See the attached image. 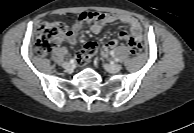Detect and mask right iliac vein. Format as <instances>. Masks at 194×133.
<instances>
[{
    "mask_svg": "<svg viewBox=\"0 0 194 133\" xmlns=\"http://www.w3.org/2000/svg\"><path fill=\"white\" fill-rule=\"evenodd\" d=\"M63 68L66 70V71H72L73 70V65L69 62H64L62 64Z\"/></svg>",
    "mask_w": 194,
    "mask_h": 133,
    "instance_id": "right-iliac-vein-1",
    "label": "right iliac vein"
}]
</instances>
